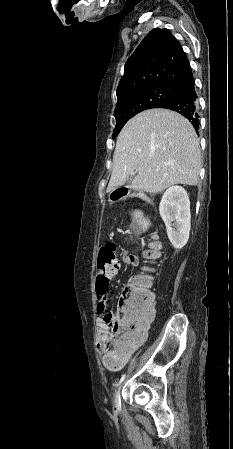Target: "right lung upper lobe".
<instances>
[{
    "label": "right lung upper lobe",
    "mask_w": 233,
    "mask_h": 449,
    "mask_svg": "<svg viewBox=\"0 0 233 449\" xmlns=\"http://www.w3.org/2000/svg\"><path fill=\"white\" fill-rule=\"evenodd\" d=\"M193 79L188 58L168 29H153L125 64L117 98L154 85L176 87Z\"/></svg>",
    "instance_id": "obj_1"
}]
</instances>
